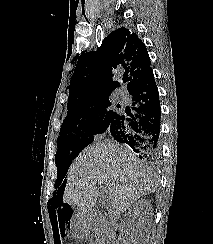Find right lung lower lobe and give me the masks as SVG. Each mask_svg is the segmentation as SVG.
Returning <instances> with one entry per match:
<instances>
[{
    "instance_id": "98d812e1",
    "label": "right lung lower lobe",
    "mask_w": 213,
    "mask_h": 244,
    "mask_svg": "<svg viewBox=\"0 0 213 244\" xmlns=\"http://www.w3.org/2000/svg\"><path fill=\"white\" fill-rule=\"evenodd\" d=\"M129 94L134 114H117L107 131L140 159L155 161L160 154L161 108L152 69Z\"/></svg>"
}]
</instances>
